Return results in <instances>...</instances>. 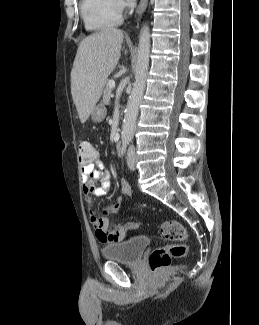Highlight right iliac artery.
Wrapping results in <instances>:
<instances>
[{"mask_svg": "<svg viewBox=\"0 0 259 325\" xmlns=\"http://www.w3.org/2000/svg\"><path fill=\"white\" fill-rule=\"evenodd\" d=\"M125 152H126V144H124L122 147V154H124Z\"/></svg>", "mask_w": 259, "mask_h": 325, "instance_id": "obj_1", "label": "right iliac artery"}]
</instances>
